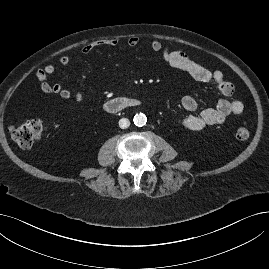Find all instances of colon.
I'll return each mask as SVG.
<instances>
[{
	"label": "colon",
	"instance_id": "5ec220e1",
	"mask_svg": "<svg viewBox=\"0 0 269 269\" xmlns=\"http://www.w3.org/2000/svg\"><path fill=\"white\" fill-rule=\"evenodd\" d=\"M46 128L45 121L35 119L24 123L11 125L9 134L12 139L22 148H30L39 138ZM236 137L245 140L249 137V130L246 126H239L236 130Z\"/></svg>",
	"mask_w": 269,
	"mask_h": 269
}]
</instances>
